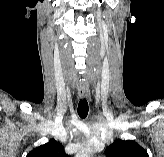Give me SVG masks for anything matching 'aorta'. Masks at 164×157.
<instances>
[{
    "label": "aorta",
    "instance_id": "1",
    "mask_svg": "<svg viewBox=\"0 0 164 157\" xmlns=\"http://www.w3.org/2000/svg\"><path fill=\"white\" fill-rule=\"evenodd\" d=\"M91 149L87 148L79 152L76 157H91Z\"/></svg>",
    "mask_w": 164,
    "mask_h": 157
}]
</instances>
